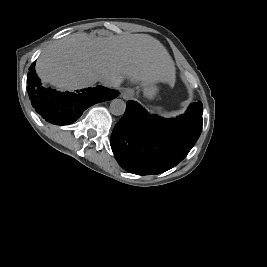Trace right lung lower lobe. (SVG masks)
Here are the masks:
<instances>
[{
  "mask_svg": "<svg viewBox=\"0 0 267 267\" xmlns=\"http://www.w3.org/2000/svg\"><path fill=\"white\" fill-rule=\"evenodd\" d=\"M35 65V62L32 66ZM27 92L35 111L47 122L65 125L75 122L90 106L114 99L119 92L102 86L77 92H60L42 86L36 73L27 75Z\"/></svg>",
  "mask_w": 267,
  "mask_h": 267,
  "instance_id": "1",
  "label": "right lung lower lobe"
}]
</instances>
